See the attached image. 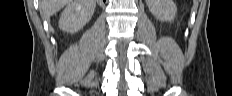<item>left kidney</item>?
I'll return each mask as SVG.
<instances>
[{"instance_id": "1", "label": "left kidney", "mask_w": 232, "mask_h": 96, "mask_svg": "<svg viewBox=\"0 0 232 96\" xmlns=\"http://www.w3.org/2000/svg\"><path fill=\"white\" fill-rule=\"evenodd\" d=\"M151 13L160 21H172L177 13L173 0H146Z\"/></svg>"}]
</instances>
